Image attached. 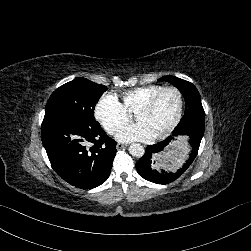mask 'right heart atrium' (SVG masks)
Listing matches in <instances>:
<instances>
[{
    "label": "right heart atrium",
    "mask_w": 251,
    "mask_h": 251,
    "mask_svg": "<svg viewBox=\"0 0 251 251\" xmlns=\"http://www.w3.org/2000/svg\"><path fill=\"white\" fill-rule=\"evenodd\" d=\"M94 116L111 135L126 122L127 111L115 93L103 94L95 103Z\"/></svg>",
    "instance_id": "obj_1"
}]
</instances>
